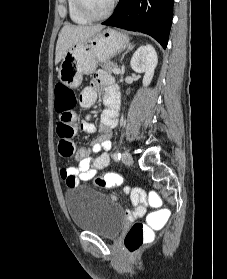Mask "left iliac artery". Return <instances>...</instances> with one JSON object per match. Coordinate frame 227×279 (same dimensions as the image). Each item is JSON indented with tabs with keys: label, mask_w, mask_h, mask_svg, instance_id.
I'll use <instances>...</instances> for the list:
<instances>
[{
	"label": "left iliac artery",
	"mask_w": 227,
	"mask_h": 279,
	"mask_svg": "<svg viewBox=\"0 0 227 279\" xmlns=\"http://www.w3.org/2000/svg\"><path fill=\"white\" fill-rule=\"evenodd\" d=\"M113 158L115 161H119L121 158V153L119 151L115 152Z\"/></svg>",
	"instance_id": "obj_1"
}]
</instances>
